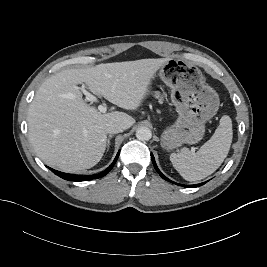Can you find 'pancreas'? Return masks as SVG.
I'll use <instances>...</instances> for the list:
<instances>
[{
    "label": "pancreas",
    "instance_id": "pancreas-1",
    "mask_svg": "<svg viewBox=\"0 0 267 267\" xmlns=\"http://www.w3.org/2000/svg\"><path fill=\"white\" fill-rule=\"evenodd\" d=\"M153 96L158 99L160 102H162L164 100V96L161 95L160 92H154Z\"/></svg>",
    "mask_w": 267,
    "mask_h": 267
}]
</instances>
